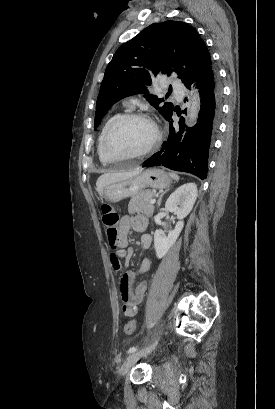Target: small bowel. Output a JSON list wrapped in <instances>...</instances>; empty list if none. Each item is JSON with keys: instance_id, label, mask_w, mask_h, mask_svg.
<instances>
[{"instance_id": "1", "label": "small bowel", "mask_w": 275, "mask_h": 409, "mask_svg": "<svg viewBox=\"0 0 275 409\" xmlns=\"http://www.w3.org/2000/svg\"><path fill=\"white\" fill-rule=\"evenodd\" d=\"M143 220L138 216H124L121 220L119 230L121 235L122 249L110 256L111 267L114 271H125L128 267V261L131 257V249L128 248L129 232L131 229L139 230L136 227V222ZM152 244V236L149 234H143L140 238V245L144 250H148ZM151 262L148 257H143L140 267L136 271L125 272L119 281V290L121 299L123 301L122 313L126 317H132L136 315L139 305L143 302L146 292V282L141 281L138 283L136 289H131L132 280L140 274L148 272Z\"/></svg>"}]
</instances>
